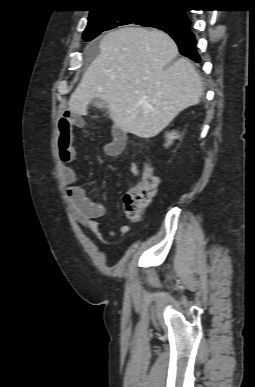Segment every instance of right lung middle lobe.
I'll return each mask as SVG.
<instances>
[{"instance_id":"obj_1","label":"right lung middle lobe","mask_w":255,"mask_h":387,"mask_svg":"<svg viewBox=\"0 0 255 387\" xmlns=\"http://www.w3.org/2000/svg\"><path fill=\"white\" fill-rule=\"evenodd\" d=\"M131 23L158 29L182 28L188 25V19L178 9L171 8L131 7L103 11L90 15L83 39L91 41L103 31Z\"/></svg>"}]
</instances>
